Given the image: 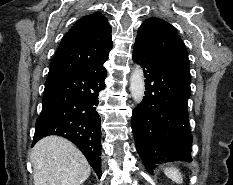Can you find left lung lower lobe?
<instances>
[{
  "label": "left lung lower lobe",
  "instance_id": "1",
  "mask_svg": "<svg viewBox=\"0 0 233 185\" xmlns=\"http://www.w3.org/2000/svg\"><path fill=\"white\" fill-rule=\"evenodd\" d=\"M133 60L143 66L145 96L131 127L146 169L170 161H192L188 122L191 75L188 65L157 56L135 43Z\"/></svg>",
  "mask_w": 233,
  "mask_h": 185
}]
</instances>
